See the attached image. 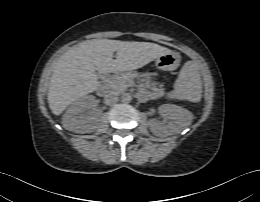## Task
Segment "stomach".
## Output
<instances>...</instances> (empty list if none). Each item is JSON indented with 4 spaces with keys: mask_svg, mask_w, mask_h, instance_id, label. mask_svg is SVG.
Masks as SVG:
<instances>
[{
    "mask_svg": "<svg viewBox=\"0 0 260 202\" xmlns=\"http://www.w3.org/2000/svg\"><path fill=\"white\" fill-rule=\"evenodd\" d=\"M180 63V56L175 52H169L156 58L155 64L158 69L171 71L176 69Z\"/></svg>",
    "mask_w": 260,
    "mask_h": 202,
    "instance_id": "1",
    "label": "stomach"
}]
</instances>
